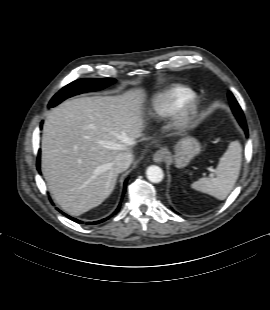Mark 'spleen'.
Here are the masks:
<instances>
[{"label": "spleen", "instance_id": "1", "mask_svg": "<svg viewBox=\"0 0 270 310\" xmlns=\"http://www.w3.org/2000/svg\"><path fill=\"white\" fill-rule=\"evenodd\" d=\"M242 149L239 142H231L228 149L220 158L215 170L216 177L200 178L191 184V187L197 191L209 194L219 200H224L230 194L238 179L241 161Z\"/></svg>", "mask_w": 270, "mask_h": 310}]
</instances>
